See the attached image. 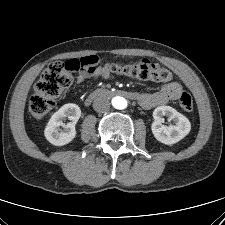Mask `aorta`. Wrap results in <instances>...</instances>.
<instances>
[{
    "instance_id": "aorta-1",
    "label": "aorta",
    "mask_w": 225,
    "mask_h": 225,
    "mask_svg": "<svg viewBox=\"0 0 225 225\" xmlns=\"http://www.w3.org/2000/svg\"><path fill=\"white\" fill-rule=\"evenodd\" d=\"M112 105L119 110L127 107V100L123 97L117 96L112 99Z\"/></svg>"
}]
</instances>
